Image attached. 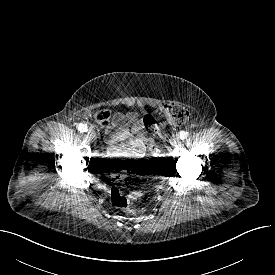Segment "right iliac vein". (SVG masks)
Instances as JSON below:
<instances>
[{
  "label": "right iliac vein",
  "mask_w": 275,
  "mask_h": 275,
  "mask_svg": "<svg viewBox=\"0 0 275 275\" xmlns=\"http://www.w3.org/2000/svg\"><path fill=\"white\" fill-rule=\"evenodd\" d=\"M87 134L90 137V139H92V140L96 139V133L94 132V130L89 129Z\"/></svg>",
  "instance_id": "obj_1"
}]
</instances>
